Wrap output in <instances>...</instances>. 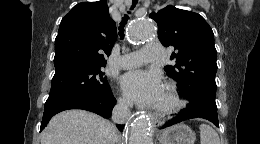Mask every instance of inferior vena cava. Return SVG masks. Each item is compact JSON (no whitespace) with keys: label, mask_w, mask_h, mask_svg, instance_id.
<instances>
[{"label":"inferior vena cava","mask_w":260,"mask_h":144,"mask_svg":"<svg viewBox=\"0 0 260 144\" xmlns=\"http://www.w3.org/2000/svg\"><path fill=\"white\" fill-rule=\"evenodd\" d=\"M132 104L125 100H118L112 111V120L117 124H124L130 116V107Z\"/></svg>","instance_id":"obj_1"}]
</instances>
